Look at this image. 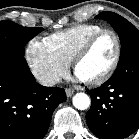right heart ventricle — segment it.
<instances>
[{"mask_svg": "<svg viewBox=\"0 0 139 139\" xmlns=\"http://www.w3.org/2000/svg\"><path fill=\"white\" fill-rule=\"evenodd\" d=\"M101 29L103 27L98 24H78L55 32L45 39L55 52L70 62L79 47Z\"/></svg>", "mask_w": 139, "mask_h": 139, "instance_id": "e07e8e85", "label": "right heart ventricle"}]
</instances>
